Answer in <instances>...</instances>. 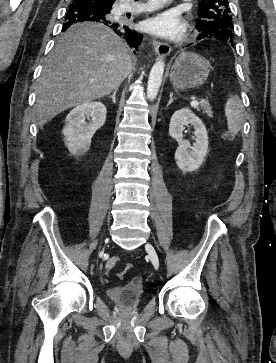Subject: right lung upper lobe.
<instances>
[{
	"label": "right lung upper lobe",
	"instance_id": "right-lung-upper-lobe-1",
	"mask_svg": "<svg viewBox=\"0 0 276 363\" xmlns=\"http://www.w3.org/2000/svg\"><path fill=\"white\" fill-rule=\"evenodd\" d=\"M84 1H91L92 3L100 4L106 7H112L115 0H84Z\"/></svg>",
	"mask_w": 276,
	"mask_h": 363
}]
</instances>
